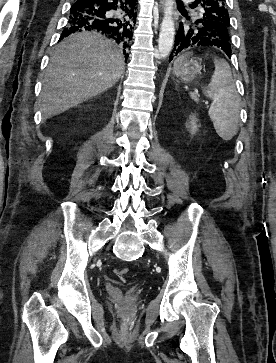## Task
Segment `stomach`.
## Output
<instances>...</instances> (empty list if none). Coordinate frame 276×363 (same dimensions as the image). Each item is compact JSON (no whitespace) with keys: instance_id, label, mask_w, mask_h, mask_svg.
Segmentation results:
<instances>
[{"instance_id":"1","label":"stomach","mask_w":276,"mask_h":363,"mask_svg":"<svg viewBox=\"0 0 276 363\" xmlns=\"http://www.w3.org/2000/svg\"><path fill=\"white\" fill-rule=\"evenodd\" d=\"M202 66L196 60H184L178 69H174V73L178 72L187 79L195 78L201 71Z\"/></svg>"}]
</instances>
